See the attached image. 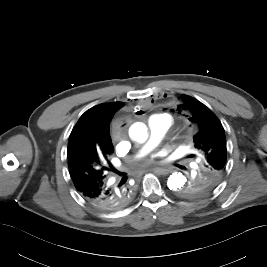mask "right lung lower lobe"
Returning a JSON list of instances; mask_svg holds the SVG:
<instances>
[{
	"label": "right lung lower lobe",
	"mask_w": 267,
	"mask_h": 267,
	"mask_svg": "<svg viewBox=\"0 0 267 267\" xmlns=\"http://www.w3.org/2000/svg\"><path fill=\"white\" fill-rule=\"evenodd\" d=\"M77 190L94 207L108 211L124 207L132 198V192L128 187L109 186L106 178L79 186Z\"/></svg>",
	"instance_id": "right-lung-lower-lobe-1"
}]
</instances>
